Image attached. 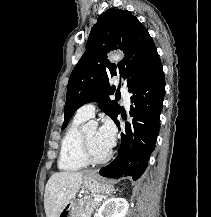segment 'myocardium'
<instances>
[{"instance_id":"obj_1","label":"myocardium","mask_w":211,"mask_h":217,"mask_svg":"<svg viewBox=\"0 0 211 217\" xmlns=\"http://www.w3.org/2000/svg\"><path fill=\"white\" fill-rule=\"evenodd\" d=\"M80 152L81 156L87 164H103L109 161L113 155L112 150H109L104 156L96 157L92 154L85 131L81 133L80 138Z\"/></svg>"}]
</instances>
